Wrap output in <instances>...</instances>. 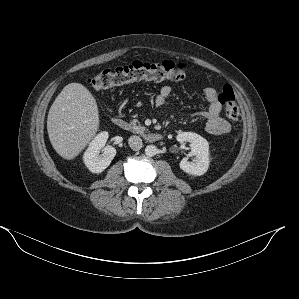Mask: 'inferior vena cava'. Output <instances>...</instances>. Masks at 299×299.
Here are the masks:
<instances>
[{
    "label": "inferior vena cava",
    "instance_id": "inferior-vena-cava-1",
    "mask_svg": "<svg viewBox=\"0 0 299 299\" xmlns=\"http://www.w3.org/2000/svg\"><path fill=\"white\" fill-rule=\"evenodd\" d=\"M128 144L131 149L138 151L142 148V139L139 136L133 135L128 139Z\"/></svg>",
    "mask_w": 299,
    "mask_h": 299
}]
</instances>
